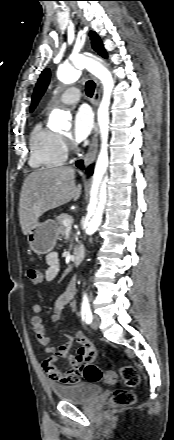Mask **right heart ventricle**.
<instances>
[{"label":"right heart ventricle","mask_w":174,"mask_h":440,"mask_svg":"<svg viewBox=\"0 0 174 440\" xmlns=\"http://www.w3.org/2000/svg\"><path fill=\"white\" fill-rule=\"evenodd\" d=\"M29 149V163L33 168L61 166L67 158L62 136L42 122L37 123L30 134Z\"/></svg>","instance_id":"obj_1"}]
</instances>
